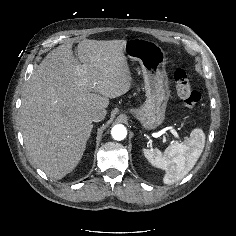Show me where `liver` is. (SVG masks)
I'll use <instances>...</instances> for the list:
<instances>
[{
  "instance_id": "liver-1",
  "label": "liver",
  "mask_w": 236,
  "mask_h": 236,
  "mask_svg": "<svg viewBox=\"0 0 236 236\" xmlns=\"http://www.w3.org/2000/svg\"><path fill=\"white\" fill-rule=\"evenodd\" d=\"M124 40L65 43L43 59L27 82L20 108L24 143L34 163L62 179L79 163L92 130L89 112L127 93L131 76Z\"/></svg>"
}]
</instances>
